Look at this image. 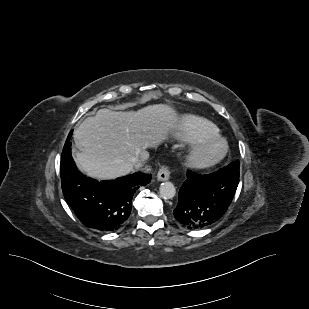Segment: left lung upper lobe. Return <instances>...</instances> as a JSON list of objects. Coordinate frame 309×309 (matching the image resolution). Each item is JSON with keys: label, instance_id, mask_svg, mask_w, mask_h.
I'll use <instances>...</instances> for the list:
<instances>
[{"label": "left lung upper lobe", "instance_id": "left-lung-upper-lobe-1", "mask_svg": "<svg viewBox=\"0 0 309 309\" xmlns=\"http://www.w3.org/2000/svg\"><path fill=\"white\" fill-rule=\"evenodd\" d=\"M228 168L239 174V161L236 160L228 165Z\"/></svg>", "mask_w": 309, "mask_h": 309}]
</instances>
